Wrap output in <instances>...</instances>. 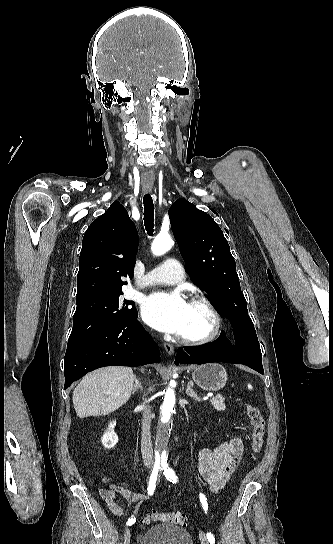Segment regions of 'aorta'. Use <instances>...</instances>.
<instances>
[{"mask_svg": "<svg viewBox=\"0 0 333 544\" xmlns=\"http://www.w3.org/2000/svg\"><path fill=\"white\" fill-rule=\"evenodd\" d=\"M173 245V241L169 234H159L153 241L151 250L156 256L165 254ZM175 405V392L172 388H168L165 392V398L161 407V424L156 435V455L158 459L166 458L167 442L170 431L168 422Z\"/></svg>", "mask_w": 333, "mask_h": 544, "instance_id": "762f6f07", "label": "aorta"}]
</instances>
